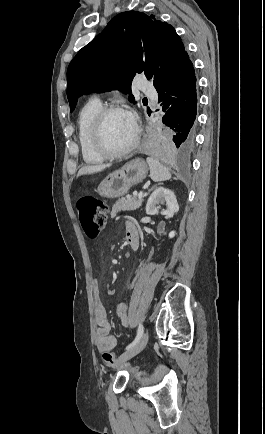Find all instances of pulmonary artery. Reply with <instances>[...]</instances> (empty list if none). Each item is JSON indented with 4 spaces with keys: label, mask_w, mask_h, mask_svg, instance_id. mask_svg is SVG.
Wrapping results in <instances>:
<instances>
[{
    "label": "pulmonary artery",
    "mask_w": 265,
    "mask_h": 434,
    "mask_svg": "<svg viewBox=\"0 0 265 434\" xmlns=\"http://www.w3.org/2000/svg\"><path fill=\"white\" fill-rule=\"evenodd\" d=\"M137 80H138V82H139V83H141V84H142V83H144V82H145V80H146V79H145V77H144V76H142V75H141V76H139V77H138V79H137ZM94 96H95V98H96V99H98V100H99V99H101V98H102V96H103V95H102V93H101V92H99V91H98V92H96V93H95V95H94Z\"/></svg>",
    "instance_id": "1"
}]
</instances>
